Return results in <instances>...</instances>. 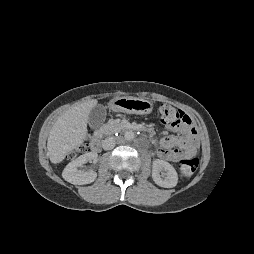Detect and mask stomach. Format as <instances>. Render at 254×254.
<instances>
[{
	"instance_id": "0dacf381",
	"label": "stomach",
	"mask_w": 254,
	"mask_h": 254,
	"mask_svg": "<svg viewBox=\"0 0 254 254\" xmlns=\"http://www.w3.org/2000/svg\"><path fill=\"white\" fill-rule=\"evenodd\" d=\"M109 107L115 112L148 114L153 110V103L135 97H116L110 101Z\"/></svg>"
}]
</instances>
